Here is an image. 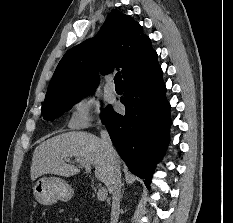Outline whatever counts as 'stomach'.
Instances as JSON below:
<instances>
[{
	"label": "stomach",
	"instance_id": "stomach-1",
	"mask_svg": "<svg viewBox=\"0 0 233 223\" xmlns=\"http://www.w3.org/2000/svg\"><path fill=\"white\" fill-rule=\"evenodd\" d=\"M32 193L42 205H53L57 201H70L74 197V189L62 177H39L34 181Z\"/></svg>",
	"mask_w": 233,
	"mask_h": 223
}]
</instances>
